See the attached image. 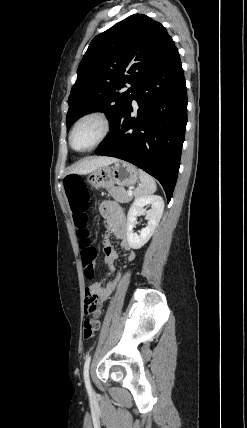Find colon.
<instances>
[{
    "label": "colon",
    "mask_w": 247,
    "mask_h": 428,
    "mask_svg": "<svg viewBox=\"0 0 247 428\" xmlns=\"http://www.w3.org/2000/svg\"><path fill=\"white\" fill-rule=\"evenodd\" d=\"M65 192L79 228L81 260L86 279L92 280L95 276L96 248L90 238V218L88 214L89 194L86 184L82 178L75 175L67 176L64 180ZM84 313L87 317L84 321L83 336L92 339L100 329V321L104 309V300L98 298H87L84 304Z\"/></svg>",
    "instance_id": "5ec220e1"
}]
</instances>
